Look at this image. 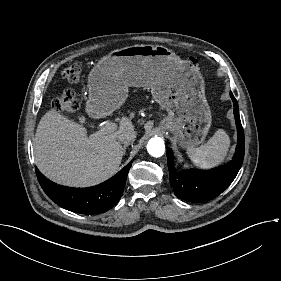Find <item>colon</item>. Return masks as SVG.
<instances>
[{"mask_svg": "<svg viewBox=\"0 0 281 281\" xmlns=\"http://www.w3.org/2000/svg\"><path fill=\"white\" fill-rule=\"evenodd\" d=\"M82 75V66L78 62L69 64L63 71L62 77L67 82H77ZM78 108V100L72 91H63L54 100V111L63 113H74Z\"/></svg>", "mask_w": 281, "mask_h": 281, "instance_id": "obj_1", "label": "colon"}]
</instances>
